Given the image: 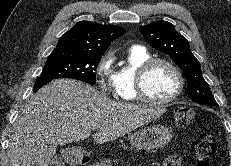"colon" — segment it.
Segmentation results:
<instances>
[{"mask_svg":"<svg viewBox=\"0 0 231 166\" xmlns=\"http://www.w3.org/2000/svg\"><path fill=\"white\" fill-rule=\"evenodd\" d=\"M195 112L192 108L186 106H179L174 110V119L178 126L185 127L194 118ZM195 166H210L212 158L216 153V141L209 133H200L196 136L191 144ZM181 157L178 155H171L164 160L160 166H181ZM51 166H62L60 163L52 164Z\"/></svg>","mask_w":231,"mask_h":166,"instance_id":"obj_1","label":"colon"}]
</instances>
